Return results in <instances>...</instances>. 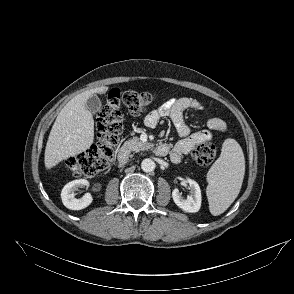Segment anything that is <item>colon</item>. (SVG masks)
Listing matches in <instances>:
<instances>
[{
	"instance_id": "5ec220e1",
	"label": "colon",
	"mask_w": 294,
	"mask_h": 294,
	"mask_svg": "<svg viewBox=\"0 0 294 294\" xmlns=\"http://www.w3.org/2000/svg\"><path fill=\"white\" fill-rule=\"evenodd\" d=\"M154 100L155 96L149 92L112 89L97 113L98 143L67 160V166L73 174L77 177H92L107 170L113 162L115 147L123 129L121 108H126L133 115H140ZM215 155L216 148L208 140L196 143L191 152L194 161L201 166L210 164Z\"/></svg>"
}]
</instances>
